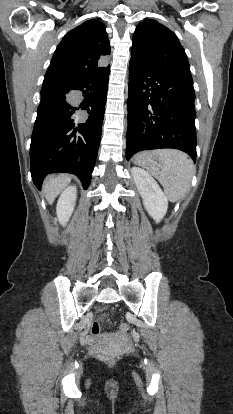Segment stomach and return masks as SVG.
I'll use <instances>...</instances> for the list:
<instances>
[{
	"label": "stomach",
	"instance_id": "1",
	"mask_svg": "<svg viewBox=\"0 0 233 414\" xmlns=\"http://www.w3.org/2000/svg\"><path fill=\"white\" fill-rule=\"evenodd\" d=\"M140 159L149 165L157 163L158 158L154 155V152H145L139 155Z\"/></svg>",
	"mask_w": 233,
	"mask_h": 414
}]
</instances>
